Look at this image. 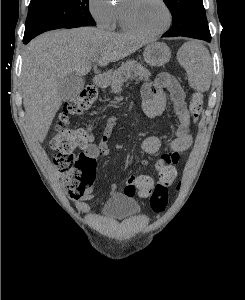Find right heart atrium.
<instances>
[{
	"label": "right heart atrium",
	"instance_id": "obj_1",
	"mask_svg": "<svg viewBox=\"0 0 245 300\" xmlns=\"http://www.w3.org/2000/svg\"><path fill=\"white\" fill-rule=\"evenodd\" d=\"M88 9L99 27L104 29L114 28L117 7L112 0H88Z\"/></svg>",
	"mask_w": 245,
	"mask_h": 300
}]
</instances>
